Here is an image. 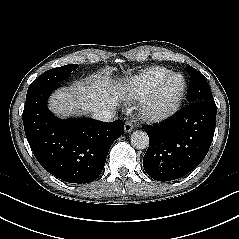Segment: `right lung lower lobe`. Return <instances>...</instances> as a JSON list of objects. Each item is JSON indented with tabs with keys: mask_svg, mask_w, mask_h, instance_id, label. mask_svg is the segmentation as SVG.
<instances>
[{
	"mask_svg": "<svg viewBox=\"0 0 239 239\" xmlns=\"http://www.w3.org/2000/svg\"><path fill=\"white\" fill-rule=\"evenodd\" d=\"M60 83L27 92L23 124L28 143L41 166L69 183H90L104 168L112 143L124 133V123L90 118L61 120L47 107Z\"/></svg>",
	"mask_w": 239,
	"mask_h": 239,
	"instance_id": "98d812e1",
	"label": "right lung lower lobe"
}]
</instances>
